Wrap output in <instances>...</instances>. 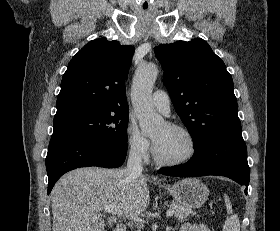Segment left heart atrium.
Listing matches in <instances>:
<instances>
[{
    "label": "left heart atrium",
    "mask_w": 280,
    "mask_h": 231,
    "mask_svg": "<svg viewBox=\"0 0 280 231\" xmlns=\"http://www.w3.org/2000/svg\"><path fill=\"white\" fill-rule=\"evenodd\" d=\"M162 143H163V137L162 136H159V137L155 138L154 139L155 149L158 150L161 147Z\"/></svg>",
    "instance_id": "left-heart-atrium-1"
}]
</instances>
